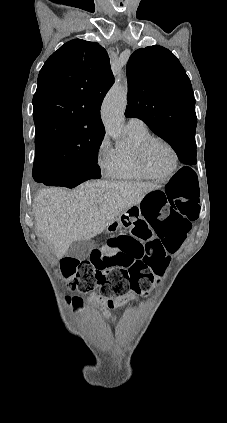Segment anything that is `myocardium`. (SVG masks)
Returning a JSON list of instances; mask_svg holds the SVG:
<instances>
[{"instance_id": "obj_1", "label": "myocardium", "mask_w": 227, "mask_h": 423, "mask_svg": "<svg viewBox=\"0 0 227 423\" xmlns=\"http://www.w3.org/2000/svg\"><path fill=\"white\" fill-rule=\"evenodd\" d=\"M155 143H160L164 145L171 152L173 158L170 170L162 175L153 173L149 169L146 162L147 152L149 148ZM135 163L137 169L145 178L153 180H167L177 172L180 163V158L177 150L170 142L161 137L150 136L137 146L135 150Z\"/></svg>"}]
</instances>
